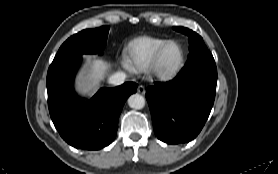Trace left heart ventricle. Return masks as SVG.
Instances as JSON below:
<instances>
[{
  "instance_id": "1",
  "label": "left heart ventricle",
  "mask_w": 278,
  "mask_h": 174,
  "mask_svg": "<svg viewBox=\"0 0 278 174\" xmlns=\"http://www.w3.org/2000/svg\"><path fill=\"white\" fill-rule=\"evenodd\" d=\"M180 59V50L177 45H169L160 57V67L163 70L172 69Z\"/></svg>"
}]
</instances>
